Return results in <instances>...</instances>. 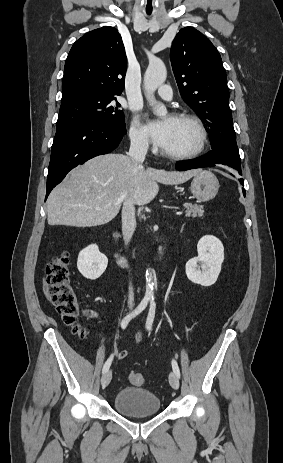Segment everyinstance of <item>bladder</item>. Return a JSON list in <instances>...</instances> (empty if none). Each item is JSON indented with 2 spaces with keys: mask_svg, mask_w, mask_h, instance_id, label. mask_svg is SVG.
<instances>
[{
  "mask_svg": "<svg viewBox=\"0 0 283 463\" xmlns=\"http://www.w3.org/2000/svg\"><path fill=\"white\" fill-rule=\"evenodd\" d=\"M112 402L119 413L131 418L156 415L161 410L159 397L140 387L122 388L115 394Z\"/></svg>",
  "mask_w": 283,
  "mask_h": 463,
  "instance_id": "1",
  "label": "bladder"
}]
</instances>
